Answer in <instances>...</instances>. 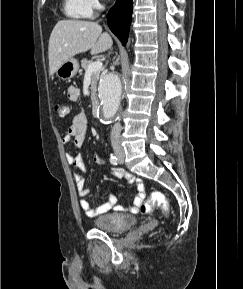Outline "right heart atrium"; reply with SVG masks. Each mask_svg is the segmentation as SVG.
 Here are the masks:
<instances>
[{"instance_id": "1", "label": "right heart atrium", "mask_w": 243, "mask_h": 289, "mask_svg": "<svg viewBox=\"0 0 243 289\" xmlns=\"http://www.w3.org/2000/svg\"><path fill=\"white\" fill-rule=\"evenodd\" d=\"M80 2L89 14V16L98 12L102 7L101 0H80Z\"/></svg>"}]
</instances>
